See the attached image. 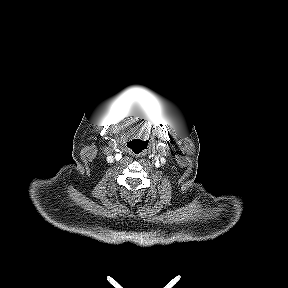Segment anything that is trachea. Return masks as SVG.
Wrapping results in <instances>:
<instances>
[{
	"label": "trachea",
	"mask_w": 288,
	"mask_h": 288,
	"mask_svg": "<svg viewBox=\"0 0 288 288\" xmlns=\"http://www.w3.org/2000/svg\"><path fill=\"white\" fill-rule=\"evenodd\" d=\"M127 147L134 155H141L148 147L147 141L140 138H133L127 143Z\"/></svg>",
	"instance_id": "obj_1"
}]
</instances>
